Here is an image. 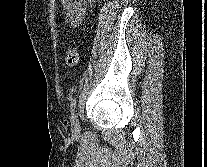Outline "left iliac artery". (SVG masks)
I'll return each mask as SVG.
<instances>
[{
	"label": "left iliac artery",
	"mask_w": 207,
	"mask_h": 167,
	"mask_svg": "<svg viewBox=\"0 0 207 167\" xmlns=\"http://www.w3.org/2000/svg\"><path fill=\"white\" fill-rule=\"evenodd\" d=\"M75 108H76V97H72L71 104H70V110L72 113L75 111Z\"/></svg>",
	"instance_id": "1"
}]
</instances>
